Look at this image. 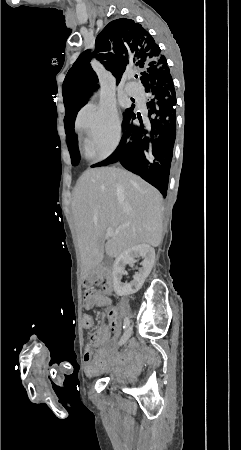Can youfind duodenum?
I'll list each match as a JSON object with an SVG mask.
<instances>
[{
    "label": "duodenum",
    "instance_id": "410a0bca",
    "mask_svg": "<svg viewBox=\"0 0 241 450\" xmlns=\"http://www.w3.org/2000/svg\"><path fill=\"white\" fill-rule=\"evenodd\" d=\"M111 274L107 270H96L91 272L86 281L87 284H104L107 285L110 282Z\"/></svg>",
    "mask_w": 241,
    "mask_h": 450
}]
</instances>
